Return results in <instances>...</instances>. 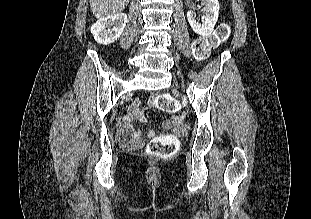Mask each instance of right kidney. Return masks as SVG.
Masks as SVG:
<instances>
[{"label": "right kidney", "instance_id": "obj_1", "mask_svg": "<svg viewBox=\"0 0 311 219\" xmlns=\"http://www.w3.org/2000/svg\"><path fill=\"white\" fill-rule=\"evenodd\" d=\"M126 22L127 16L124 13L101 18L91 27V33L97 43L107 45L115 42L120 37Z\"/></svg>", "mask_w": 311, "mask_h": 219}]
</instances>
